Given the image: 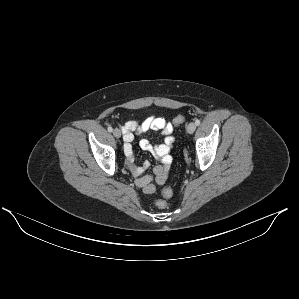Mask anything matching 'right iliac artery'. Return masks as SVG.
Instances as JSON below:
<instances>
[{
    "instance_id": "82829eb1",
    "label": "right iliac artery",
    "mask_w": 299,
    "mask_h": 299,
    "mask_svg": "<svg viewBox=\"0 0 299 299\" xmlns=\"http://www.w3.org/2000/svg\"><path fill=\"white\" fill-rule=\"evenodd\" d=\"M107 129L109 132H112V130H113L111 126H109Z\"/></svg>"
}]
</instances>
